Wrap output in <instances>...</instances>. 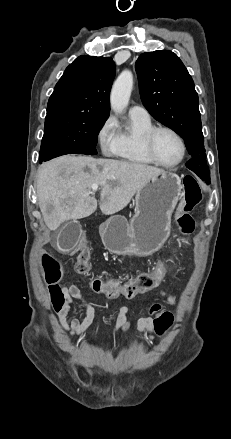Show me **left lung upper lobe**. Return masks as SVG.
Instances as JSON below:
<instances>
[{
	"label": "left lung upper lobe",
	"mask_w": 231,
	"mask_h": 439,
	"mask_svg": "<svg viewBox=\"0 0 231 439\" xmlns=\"http://www.w3.org/2000/svg\"><path fill=\"white\" fill-rule=\"evenodd\" d=\"M135 67L145 108L184 139L192 157L186 167L209 183L198 94L186 67L168 50L141 54Z\"/></svg>",
	"instance_id": "left-lung-upper-lobe-1"
}]
</instances>
